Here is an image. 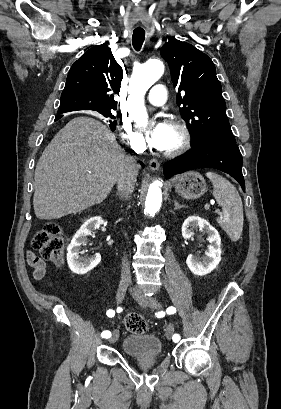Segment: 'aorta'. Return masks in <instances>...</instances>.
Returning a JSON list of instances; mask_svg holds the SVG:
<instances>
[{
    "label": "aorta",
    "mask_w": 281,
    "mask_h": 409,
    "mask_svg": "<svg viewBox=\"0 0 281 409\" xmlns=\"http://www.w3.org/2000/svg\"><path fill=\"white\" fill-rule=\"evenodd\" d=\"M163 72L164 64L160 60H149L134 70L131 81L130 101L133 118L139 127H144L148 124V114L143 102L144 95L162 76ZM160 185L159 181H154L148 189L144 211L150 216L154 215L161 206L162 191Z\"/></svg>",
    "instance_id": "762f6f07"
}]
</instances>
